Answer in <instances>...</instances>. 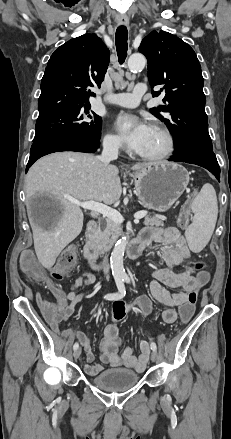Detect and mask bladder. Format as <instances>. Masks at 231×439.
Wrapping results in <instances>:
<instances>
[{
	"mask_svg": "<svg viewBox=\"0 0 231 439\" xmlns=\"http://www.w3.org/2000/svg\"><path fill=\"white\" fill-rule=\"evenodd\" d=\"M91 381L98 388L117 391L135 386L139 382V375L128 369L113 368L100 372Z\"/></svg>",
	"mask_w": 231,
	"mask_h": 439,
	"instance_id": "31cf9c89",
	"label": "bladder"
}]
</instances>
